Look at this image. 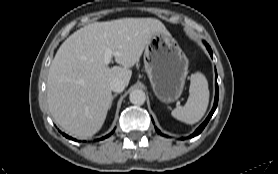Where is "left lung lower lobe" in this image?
<instances>
[{"label":"left lung lower lobe","mask_w":278,"mask_h":174,"mask_svg":"<svg viewBox=\"0 0 278 174\" xmlns=\"http://www.w3.org/2000/svg\"><path fill=\"white\" fill-rule=\"evenodd\" d=\"M206 47H207V49H208V51H209V53H210V55L212 57V50H211L210 46L206 44ZM215 73H216V76H215V101H214V106H213L210 114L206 118V120L197 128V130L192 135L189 136L190 138L195 137V136H197L198 134H200L202 132V130L205 128V126L207 125L208 121L210 120V118L212 117L213 113L216 110V107H217V104H218V94H219V91H218V84H217V72L215 71ZM155 129H156L157 133H160V131L157 128H155Z\"/></svg>","instance_id":"obj_1"}]
</instances>
